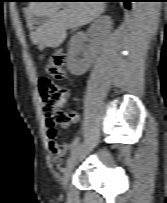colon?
I'll return each mask as SVG.
<instances>
[{
    "mask_svg": "<svg viewBox=\"0 0 167 203\" xmlns=\"http://www.w3.org/2000/svg\"><path fill=\"white\" fill-rule=\"evenodd\" d=\"M67 56L64 51L57 50L46 65L48 76L38 79V89L43 102V110L47 118L49 130L56 133L55 125L67 127L73 122V114L60 109L63 105L67 90L58 81L65 78Z\"/></svg>",
    "mask_w": 167,
    "mask_h": 203,
    "instance_id": "1",
    "label": "colon"
}]
</instances>
